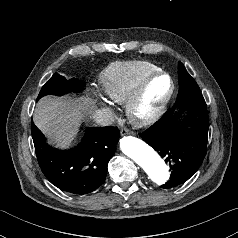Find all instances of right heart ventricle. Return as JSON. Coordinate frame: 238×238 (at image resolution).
<instances>
[{
    "label": "right heart ventricle",
    "instance_id": "e07e8e85",
    "mask_svg": "<svg viewBox=\"0 0 238 238\" xmlns=\"http://www.w3.org/2000/svg\"><path fill=\"white\" fill-rule=\"evenodd\" d=\"M159 68L147 61L114 62L99 75L105 95L116 104H125L141 82Z\"/></svg>",
    "mask_w": 238,
    "mask_h": 238
}]
</instances>
